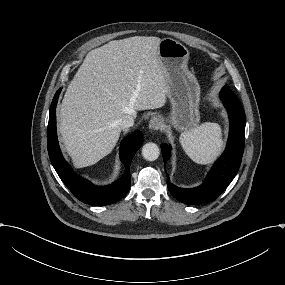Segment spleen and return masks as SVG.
Segmentation results:
<instances>
[{
  "mask_svg": "<svg viewBox=\"0 0 285 285\" xmlns=\"http://www.w3.org/2000/svg\"><path fill=\"white\" fill-rule=\"evenodd\" d=\"M180 141L188 156L201 164L212 161L223 143L219 126L211 122H202L185 130L180 136Z\"/></svg>",
  "mask_w": 285,
  "mask_h": 285,
  "instance_id": "spleen-1",
  "label": "spleen"
}]
</instances>
